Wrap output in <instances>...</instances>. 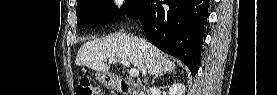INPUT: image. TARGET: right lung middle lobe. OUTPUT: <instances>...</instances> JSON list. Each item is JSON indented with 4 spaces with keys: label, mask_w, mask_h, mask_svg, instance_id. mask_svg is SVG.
Returning a JSON list of instances; mask_svg holds the SVG:
<instances>
[{
    "label": "right lung middle lobe",
    "mask_w": 277,
    "mask_h": 95,
    "mask_svg": "<svg viewBox=\"0 0 277 95\" xmlns=\"http://www.w3.org/2000/svg\"><path fill=\"white\" fill-rule=\"evenodd\" d=\"M139 0H131L126 3L122 11L113 6L111 0H80L77 2V27H94L114 22L129 13Z\"/></svg>",
    "instance_id": "right-lung-middle-lobe-1"
}]
</instances>
